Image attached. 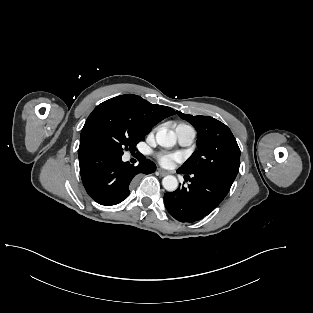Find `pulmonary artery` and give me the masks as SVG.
I'll list each match as a JSON object with an SVG mask.
<instances>
[{
	"mask_svg": "<svg viewBox=\"0 0 313 313\" xmlns=\"http://www.w3.org/2000/svg\"><path fill=\"white\" fill-rule=\"evenodd\" d=\"M176 135L182 146H189L194 141L195 131L189 127H178L176 129Z\"/></svg>",
	"mask_w": 313,
	"mask_h": 313,
	"instance_id": "e3ab8cb5",
	"label": "pulmonary artery"
}]
</instances>
